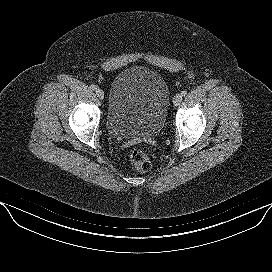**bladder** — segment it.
Instances as JSON below:
<instances>
[{
  "label": "bladder",
  "mask_w": 272,
  "mask_h": 272,
  "mask_svg": "<svg viewBox=\"0 0 272 272\" xmlns=\"http://www.w3.org/2000/svg\"><path fill=\"white\" fill-rule=\"evenodd\" d=\"M170 102L164 77L149 67L131 66L113 79L106 128L115 139L147 138L163 128Z\"/></svg>",
  "instance_id": "1"
}]
</instances>
